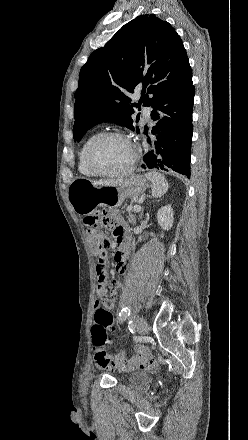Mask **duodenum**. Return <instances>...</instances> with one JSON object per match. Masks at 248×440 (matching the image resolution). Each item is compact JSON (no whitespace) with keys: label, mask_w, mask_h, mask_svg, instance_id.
<instances>
[{"label":"duodenum","mask_w":248,"mask_h":440,"mask_svg":"<svg viewBox=\"0 0 248 440\" xmlns=\"http://www.w3.org/2000/svg\"><path fill=\"white\" fill-rule=\"evenodd\" d=\"M121 251H122V252H126V251H127V248L123 246V247H121Z\"/></svg>","instance_id":"duodenum-1"}]
</instances>
